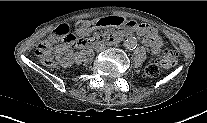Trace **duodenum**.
Segmentation results:
<instances>
[{
    "label": "duodenum",
    "mask_w": 207,
    "mask_h": 123,
    "mask_svg": "<svg viewBox=\"0 0 207 123\" xmlns=\"http://www.w3.org/2000/svg\"><path fill=\"white\" fill-rule=\"evenodd\" d=\"M129 32L130 31H121L120 33L114 35H106L103 37L92 38L87 40L83 45L85 48L90 49L100 43L116 44L120 42L124 38V36Z\"/></svg>",
    "instance_id": "duodenum-1"
}]
</instances>
